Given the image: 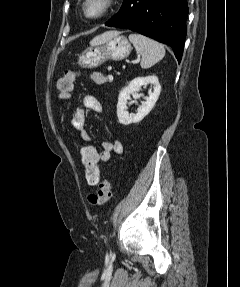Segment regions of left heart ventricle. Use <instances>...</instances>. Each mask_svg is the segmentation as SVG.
Segmentation results:
<instances>
[{"label": "left heart ventricle", "mask_w": 240, "mask_h": 287, "mask_svg": "<svg viewBox=\"0 0 240 287\" xmlns=\"http://www.w3.org/2000/svg\"><path fill=\"white\" fill-rule=\"evenodd\" d=\"M102 8L101 0H90L87 4V11L90 15L97 14Z\"/></svg>", "instance_id": "left-heart-ventricle-1"}]
</instances>
